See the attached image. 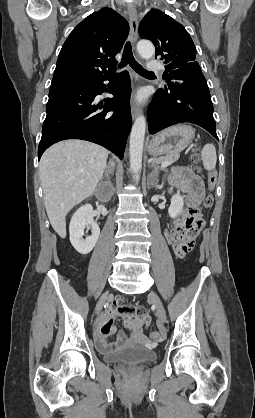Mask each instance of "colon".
Here are the masks:
<instances>
[{
    "label": "colon",
    "mask_w": 255,
    "mask_h": 418,
    "mask_svg": "<svg viewBox=\"0 0 255 418\" xmlns=\"http://www.w3.org/2000/svg\"><path fill=\"white\" fill-rule=\"evenodd\" d=\"M193 160L195 162L199 161V157L197 154H193ZM216 184V174L212 173L209 175L207 179V187L208 193L206 194L204 201H203V208L208 210L213 206L214 198L212 195V190L214 189ZM204 226L203 214L202 210L199 206L190 207L187 216L181 222H179L174 228H198L199 233ZM191 251V249H190ZM151 342L156 343L161 340L162 335L159 332H153L150 335Z\"/></svg>",
    "instance_id": "obj_1"
}]
</instances>
